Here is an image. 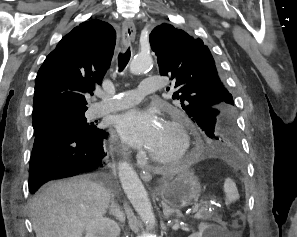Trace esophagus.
I'll list each match as a JSON object with an SVG mask.
<instances>
[{
  "instance_id": "esophagus-1",
  "label": "esophagus",
  "mask_w": 297,
  "mask_h": 237,
  "mask_svg": "<svg viewBox=\"0 0 297 237\" xmlns=\"http://www.w3.org/2000/svg\"><path fill=\"white\" fill-rule=\"evenodd\" d=\"M135 34L136 28L134 22L132 20L124 21L122 25V44L124 47H128L134 39ZM140 176L144 181H150L152 179V174L148 168L143 169L140 172Z\"/></svg>"
}]
</instances>
